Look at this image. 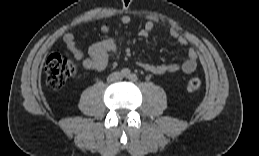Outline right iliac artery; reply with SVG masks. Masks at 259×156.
<instances>
[{
  "instance_id": "82829eb1",
  "label": "right iliac artery",
  "mask_w": 259,
  "mask_h": 156,
  "mask_svg": "<svg viewBox=\"0 0 259 156\" xmlns=\"http://www.w3.org/2000/svg\"><path fill=\"white\" fill-rule=\"evenodd\" d=\"M121 75H122L123 77H129V75H130V70L127 69V68L122 69V70H121Z\"/></svg>"
}]
</instances>
